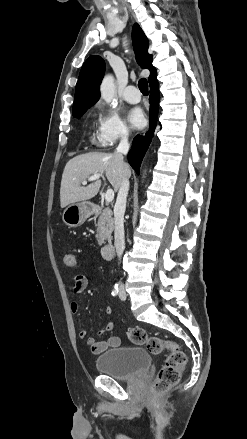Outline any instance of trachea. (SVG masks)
Returning a JSON list of instances; mask_svg holds the SVG:
<instances>
[{
  "label": "trachea",
  "mask_w": 247,
  "mask_h": 439,
  "mask_svg": "<svg viewBox=\"0 0 247 439\" xmlns=\"http://www.w3.org/2000/svg\"><path fill=\"white\" fill-rule=\"evenodd\" d=\"M138 87L143 95H148V83L147 80L142 78L139 80Z\"/></svg>",
  "instance_id": "1"
}]
</instances>
